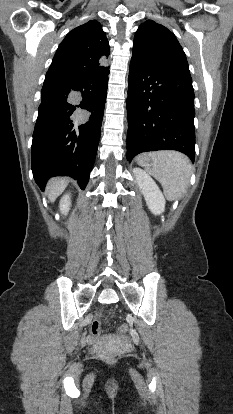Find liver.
I'll list each match as a JSON object with an SVG mask.
<instances>
[{"label":"liver","instance_id":"liver-1","mask_svg":"<svg viewBox=\"0 0 233 414\" xmlns=\"http://www.w3.org/2000/svg\"><path fill=\"white\" fill-rule=\"evenodd\" d=\"M68 180L66 178L53 179L48 184V199L54 201L63 191Z\"/></svg>","mask_w":233,"mask_h":414}]
</instances>
